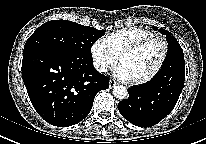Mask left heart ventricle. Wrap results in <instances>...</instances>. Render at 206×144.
I'll list each match as a JSON object with an SVG mask.
<instances>
[{
  "mask_svg": "<svg viewBox=\"0 0 206 144\" xmlns=\"http://www.w3.org/2000/svg\"><path fill=\"white\" fill-rule=\"evenodd\" d=\"M162 54L158 41H152L137 52L123 58L122 64L129 72L132 80L148 75L157 65Z\"/></svg>",
  "mask_w": 206,
  "mask_h": 144,
  "instance_id": "left-heart-ventricle-1",
  "label": "left heart ventricle"
}]
</instances>
